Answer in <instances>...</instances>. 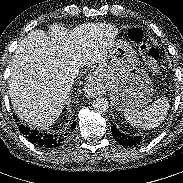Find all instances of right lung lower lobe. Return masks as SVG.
Wrapping results in <instances>:
<instances>
[{
	"instance_id": "98d812e1",
	"label": "right lung lower lobe",
	"mask_w": 183,
	"mask_h": 183,
	"mask_svg": "<svg viewBox=\"0 0 183 183\" xmlns=\"http://www.w3.org/2000/svg\"><path fill=\"white\" fill-rule=\"evenodd\" d=\"M16 118V116H14ZM75 122L71 126V131L64 135H52L49 133L39 132L37 130H32L23 124L18 123L19 130L26 138L33 144L43 147V148H58L63 146L68 139V136L75 129Z\"/></svg>"
}]
</instances>
